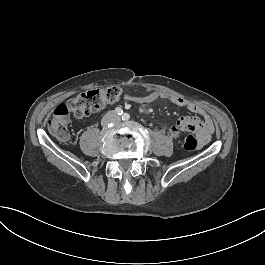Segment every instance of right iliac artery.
Wrapping results in <instances>:
<instances>
[{
  "mask_svg": "<svg viewBox=\"0 0 265 265\" xmlns=\"http://www.w3.org/2000/svg\"><path fill=\"white\" fill-rule=\"evenodd\" d=\"M115 113H116L117 115H122V114H123V110H122V108H120V107L115 108Z\"/></svg>",
  "mask_w": 265,
  "mask_h": 265,
  "instance_id": "obj_1",
  "label": "right iliac artery"
}]
</instances>
